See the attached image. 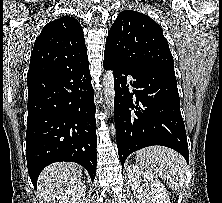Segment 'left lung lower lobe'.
<instances>
[{
	"mask_svg": "<svg viewBox=\"0 0 222 203\" xmlns=\"http://www.w3.org/2000/svg\"><path fill=\"white\" fill-rule=\"evenodd\" d=\"M103 65L114 71V119L122 166L132 152L151 145L172 148L188 163V143L175 73L131 66L107 53H104ZM130 86L135 88L133 93L129 91Z\"/></svg>",
	"mask_w": 222,
	"mask_h": 203,
	"instance_id": "0a47b994",
	"label": "left lung lower lobe"
}]
</instances>
